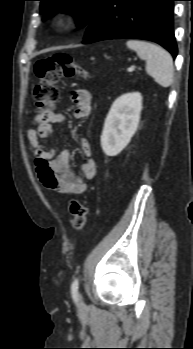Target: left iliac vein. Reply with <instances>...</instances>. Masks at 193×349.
I'll list each match as a JSON object with an SVG mask.
<instances>
[{
	"instance_id": "obj_1",
	"label": "left iliac vein",
	"mask_w": 193,
	"mask_h": 349,
	"mask_svg": "<svg viewBox=\"0 0 193 349\" xmlns=\"http://www.w3.org/2000/svg\"><path fill=\"white\" fill-rule=\"evenodd\" d=\"M78 305H79L80 307H83V306H84V302H83V300H82L81 297H80V300H79V302H78Z\"/></svg>"
}]
</instances>
